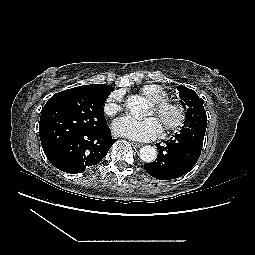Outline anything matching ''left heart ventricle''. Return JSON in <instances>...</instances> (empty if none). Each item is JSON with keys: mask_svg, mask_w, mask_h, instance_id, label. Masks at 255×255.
<instances>
[{"mask_svg": "<svg viewBox=\"0 0 255 255\" xmlns=\"http://www.w3.org/2000/svg\"><path fill=\"white\" fill-rule=\"evenodd\" d=\"M154 114V111H153V106H150V108H149V110H148V112H147V116H150V115H153ZM159 119V118H158ZM159 121H160V123H161V125H162V121H161V119H159Z\"/></svg>", "mask_w": 255, "mask_h": 255, "instance_id": "b2bd125f", "label": "left heart ventricle"}]
</instances>
